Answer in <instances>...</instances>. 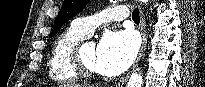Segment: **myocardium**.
<instances>
[{"mask_svg":"<svg viewBox=\"0 0 205 87\" xmlns=\"http://www.w3.org/2000/svg\"><path fill=\"white\" fill-rule=\"evenodd\" d=\"M83 43H78L70 54L71 64L79 78L87 79L95 76V71L88 68L82 61L81 49Z\"/></svg>","mask_w":205,"mask_h":87,"instance_id":"1","label":"myocardium"}]
</instances>
